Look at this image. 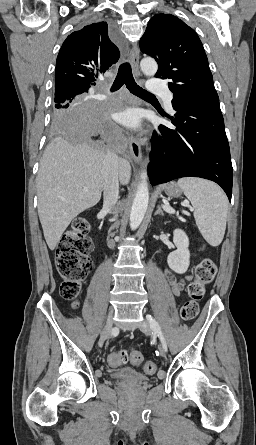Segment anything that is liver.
<instances>
[{"label":"liver","instance_id":"obj_1","mask_svg":"<svg viewBox=\"0 0 256 445\" xmlns=\"http://www.w3.org/2000/svg\"><path fill=\"white\" fill-rule=\"evenodd\" d=\"M105 156L97 144L87 141L72 144L56 138L46 147L37 176V195L38 215L50 250L77 215L99 202ZM118 172L121 184H128L131 167L127 160L119 158Z\"/></svg>","mask_w":256,"mask_h":445}]
</instances>
